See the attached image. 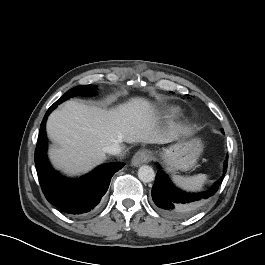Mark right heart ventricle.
Wrapping results in <instances>:
<instances>
[{
  "label": "right heart ventricle",
  "instance_id": "e07e8e85",
  "mask_svg": "<svg viewBox=\"0 0 265 265\" xmlns=\"http://www.w3.org/2000/svg\"><path fill=\"white\" fill-rule=\"evenodd\" d=\"M173 111H174V112H176V111H177V109H174Z\"/></svg>",
  "mask_w": 265,
  "mask_h": 265
}]
</instances>
